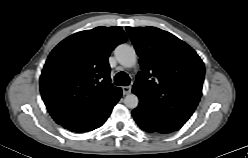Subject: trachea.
Segmentation results:
<instances>
[{
  "label": "trachea",
  "instance_id": "obj_1",
  "mask_svg": "<svg viewBox=\"0 0 248 158\" xmlns=\"http://www.w3.org/2000/svg\"><path fill=\"white\" fill-rule=\"evenodd\" d=\"M115 85L128 86L130 84V78L125 72H119L114 77Z\"/></svg>",
  "mask_w": 248,
  "mask_h": 158
}]
</instances>
